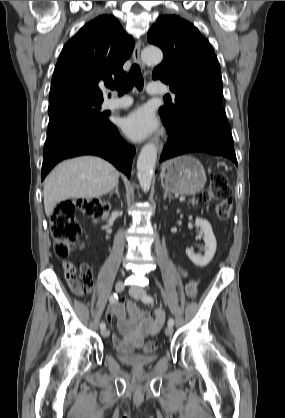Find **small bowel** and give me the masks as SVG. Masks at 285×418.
I'll return each instance as SVG.
<instances>
[{"label": "small bowel", "instance_id": "obj_1", "mask_svg": "<svg viewBox=\"0 0 285 418\" xmlns=\"http://www.w3.org/2000/svg\"><path fill=\"white\" fill-rule=\"evenodd\" d=\"M178 269L182 277H188V271L186 269L181 267ZM65 279L74 292L77 283L83 284L88 291L93 286L91 269L86 263H82L80 269L73 263L65 264ZM197 288L198 282L195 279L189 280L185 285L186 295L188 297H194L197 293ZM126 311L128 318L125 316V307L121 302L115 303L108 311V320L111 322L116 318L120 330L127 337L125 341L117 335H113L112 337L115 348L122 351L140 348L143 338L159 333L166 317L162 308L156 309L154 314H147L132 302L127 303Z\"/></svg>", "mask_w": 285, "mask_h": 418}]
</instances>
